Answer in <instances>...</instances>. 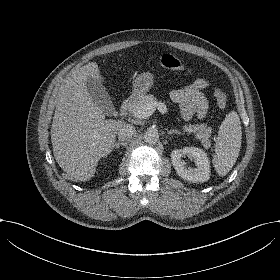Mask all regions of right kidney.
<instances>
[{
	"label": "right kidney",
	"mask_w": 280,
	"mask_h": 280,
	"mask_svg": "<svg viewBox=\"0 0 280 280\" xmlns=\"http://www.w3.org/2000/svg\"><path fill=\"white\" fill-rule=\"evenodd\" d=\"M102 164H103V166H105V164H106V161H103V162H102Z\"/></svg>",
	"instance_id": "1"
}]
</instances>
